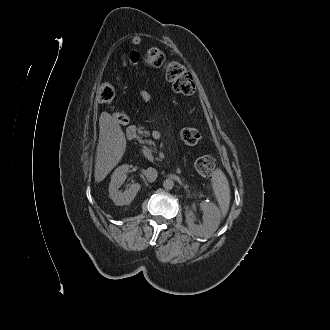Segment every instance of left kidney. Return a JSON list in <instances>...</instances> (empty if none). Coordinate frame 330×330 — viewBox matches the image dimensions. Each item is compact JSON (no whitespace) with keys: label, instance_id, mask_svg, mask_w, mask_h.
<instances>
[{"label":"left kidney","instance_id":"left-kidney-1","mask_svg":"<svg viewBox=\"0 0 330 330\" xmlns=\"http://www.w3.org/2000/svg\"><path fill=\"white\" fill-rule=\"evenodd\" d=\"M200 208L203 211V223L195 224L193 220V214L191 211L187 210L185 213L186 223L188 225L189 231L199 237H208L213 234L221 221V213L219 208L211 202H201Z\"/></svg>","mask_w":330,"mask_h":330}]
</instances>
